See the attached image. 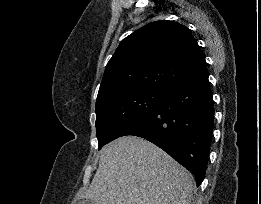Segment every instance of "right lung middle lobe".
Here are the masks:
<instances>
[{
	"label": "right lung middle lobe",
	"mask_w": 261,
	"mask_h": 204,
	"mask_svg": "<svg viewBox=\"0 0 261 204\" xmlns=\"http://www.w3.org/2000/svg\"><path fill=\"white\" fill-rule=\"evenodd\" d=\"M163 91L120 90L96 102V135L99 149L118 138L132 124L154 108Z\"/></svg>",
	"instance_id": "1"
}]
</instances>
